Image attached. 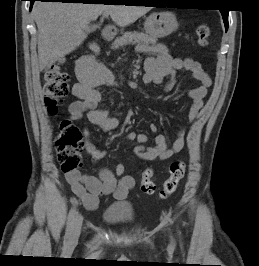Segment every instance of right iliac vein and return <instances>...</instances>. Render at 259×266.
Wrapping results in <instances>:
<instances>
[{
	"mask_svg": "<svg viewBox=\"0 0 259 266\" xmlns=\"http://www.w3.org/2000/svg\"><path fill=\"white\" fill-rule=\"evenodd\" d=\"M81 227H82V216L77 215L71 230V235H70L71 243H75L78 240L81 232Z\"/></svg>",
	"mask_w": 259,
	"mask_h": 266,
	"instance_id": "63e3f726",
	"label": "right iliac vein"
}]
</instances>
